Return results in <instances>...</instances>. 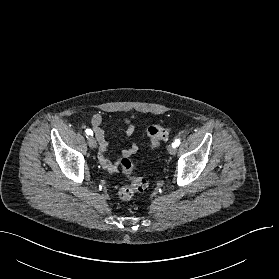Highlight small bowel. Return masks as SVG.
<instances>
[{
	"mask_svg": "<svg viewBox=\"0 0 279 279\" xmlns=\"http://www.w3.org/2000/svg\"><path fill=\"white\" fill-rule=\"evenodd\" d=\"M103 123V118L100 114L96 113L92 116L91 118V127L93 129V132L95 134V137L99 143V155L98 159L102 167L107 170L110 173H115L118 171L119 166H120V160H112L107 156V151L109 148V143L106 138L105 131L102 127ZM123 126L125 130V134L128 137H132L136 133V126L134 123H132L129 119H124L123 120ZM138 150V147L136 144H130L127 147H125L121 151V156L122 157H129L136 153Z\"/></svg>",
	"mask_w": 279,
	"mask_h": 279,
	"instance_id": "1",
	"label": "small bowel"
}]
</instances>
